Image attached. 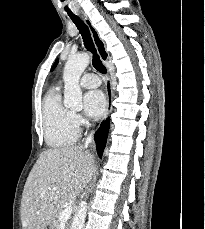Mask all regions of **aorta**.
<instances>
[{
	"label": "aorta",
	"mask_w": 205,
	"mask_h": 229,
	"mask_svg": "<svg viewBox=\"0 0 205 229\" xmlns=\"http://www.w3.org/2000/svg\"><path fill=\"white\" fill-rule=\"evenodd\" d=\"M89 63L90 56L87 53L70 56L66 62L63 71L64 105L68 108L81 110L83 107L79 80ZM86 211L87 202L83 201L74 215L71 229H83Z\"/></svg>",
	"instance_id": "aorta-1"
}]
</instances>
